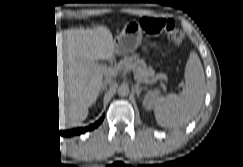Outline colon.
<instances>
[{"label": "colon", "instance_id": "colon-1", "mask_svg": "<svg viewBox=\"0 0 243 167\" xmlns=\"http://www.w3.org/2000/svg\"><path fill=\"white\" fill-rule=\"evenodd\" d=\"M140 25L150 35L164 34L174 44H181L183 42L184 34L176 28L175 22L171 18L144 17L140 20Z\"/></svg>", "mask_w": 243, "mask_h": 167}]
</instances>
